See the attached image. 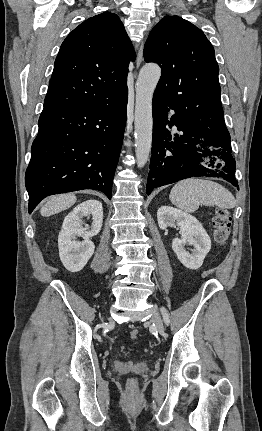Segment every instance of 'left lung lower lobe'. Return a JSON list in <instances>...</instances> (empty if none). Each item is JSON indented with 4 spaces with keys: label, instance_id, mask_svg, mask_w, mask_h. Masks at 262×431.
<instances>
[{
    "label": "left lung lower lobe",
    "instance_id": "obj_1",
    "mask_svg": "<svg viewBox=\"0 0 262 431\" xmlns=\"http://www.w3.org/2000/svg\"><path fill=\"white\" fill-rule=\"evenodd\" d=\"M153 139L147 194L154 188L190 177H221L236 186L235 160L230 135H204L183 123L160 95L153 97ZM175 125L180 134L173 138L167 127Z\"/></svg>",
    "mask_w": 262,
    "mask_h": 431
}]
</instances>
